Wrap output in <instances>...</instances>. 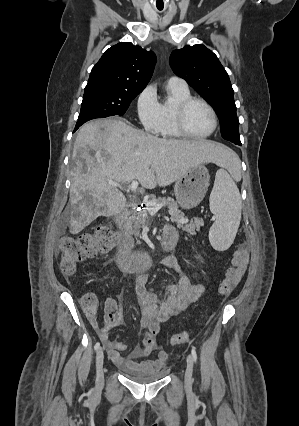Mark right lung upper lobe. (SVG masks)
<instances>
[{"label": "right lung upper lobe", "mask_w": 299, "mask_h": 426, "mask_svg": "<svg viewBox=\"0 0 299 426\" xmlns=\"http://www.w3.org/2000/svg\"><path fill=\"white\" fill-rule=\"evenodd\" d=\"M156 56L138 45L120 42L107 49L93 67L87 85L101 84L143 91L154 70Z\"/></svg>", "instance_id": "1"}]
</instances>
